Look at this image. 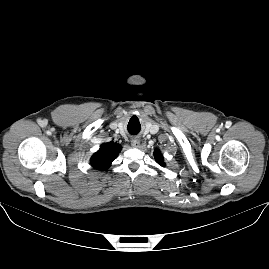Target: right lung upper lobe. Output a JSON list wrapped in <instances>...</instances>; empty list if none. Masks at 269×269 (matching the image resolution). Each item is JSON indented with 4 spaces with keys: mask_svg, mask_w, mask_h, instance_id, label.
<instances>
[{
    "mask_svg": "<svg viewBox=\"0 0 269 269\" xmlns=\"http://www.w3.org/2000/svg\"><path fill=\"white\" fill-rule=\"evenodd\" d=\"M121 151V146L114 142L105 143L91 157V165L95 169L106 170Z\"/></svg>",
    "mask_w": 269,
    "mask_h": 269,
    "instance_id": "cb5924a9",
    "label": "right lung upper lobe"
}]
</instances>
